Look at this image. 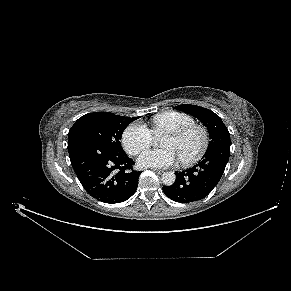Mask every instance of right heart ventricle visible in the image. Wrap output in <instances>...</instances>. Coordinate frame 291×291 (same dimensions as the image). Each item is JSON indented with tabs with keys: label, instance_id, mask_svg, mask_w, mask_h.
I'll list each match as a JSON object with an SVG mask.
<instances>
[{
	"label": "right heart ventricle",
	"instance_id": "e07e8e85",
	"mask_svg": "<svg viewBox=\"0 0 291 291\" xmlns=\"http://www.w3.org/2000/svg\"><path fill=\"white\" fill-rule=\"evenodd\" d=\"M151 124L152 133L154 135H161L195 124V120L192 116L186 113L178 111H166L155 115L151 119Z\"/></svg>",
	"mask_w": 291,
	"mask_h": 291
}]
</instances>
